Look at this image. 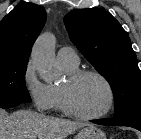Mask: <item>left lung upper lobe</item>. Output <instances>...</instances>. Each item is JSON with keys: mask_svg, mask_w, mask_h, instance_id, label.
Wrapping results in <instances>:
<instances>
[{"mask_svg": "<svg viewBox=\"0 0 141 139\" xmlns=\"http://www.w3.org/2000/svg\"><path fill=\"white\" fill-rule=\"evenodd\" d=\"M64 23L73 44L109 82L115 118L141 112V71L119 22L105 10L87 8L69 12Z\"/></svg>", "mask_w": 141, "mask_h": 139, "instance_id": "1", "label": "left lung upper lobe"}]
</instances>
